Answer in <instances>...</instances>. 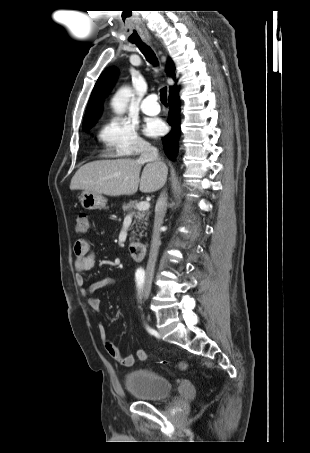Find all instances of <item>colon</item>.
Masks as SVG:
<instances>
[{
    "mask_svg": "<svg viewBox=\"0 0 310 453\" xmlns=\"http://www.w3.org/2000/svg\"><path fill=\"white\" fill-rule=\"evenodd\" d=\"M90 230V223L88 216L85 213H80L76 219L75 231L77 234H86ZM179 367L181 369H186L187 364L185 362H180Z\"/></svg>",
    "mask_w": 310,
    "mask_h": 453,
    "instance_id": "colon-1",
    "label": "colon"
}]
</instances>
